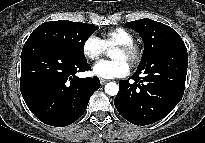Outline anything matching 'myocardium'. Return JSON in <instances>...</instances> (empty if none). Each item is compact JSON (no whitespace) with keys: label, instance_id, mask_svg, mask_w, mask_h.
Listing matches in <instances>:
<instances>
[{"label":"myocardium","instance_id":"myocardium-1","mask_svg":"<svg viewBox=\"0 0 205 143\" xmlns=\"http://www.w3.org/2000/svg\"><path fill=\"white\" fill-rule=\"evenodd\" d=\"M116 48L122 50L127 54L128 64L131 67H135L141 62L143 51L142 48L137 43L135 42L123 43V44L116 45Z\"/></svg>","mask_w":205,"mask_h":143}]
</instances>
